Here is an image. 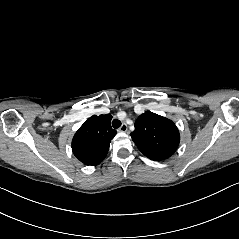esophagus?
Here are the masks:
<instances>
[{
    "instance_id": "1",
    "label": "esophagus",
    "mask_w": 239,
    "mask_h": 239,
    "mask_svg": "<svg viewBox=\"0 0 239 239\" xmlns=\"http://www.w3.org/2000/svg\"><path fill=\"white\" fill-rule=\"evenodd\" d=\"M128 127L126 123H123L121 127L118 129L119 132H127Z\"/></svg>"
}]
</instances>
